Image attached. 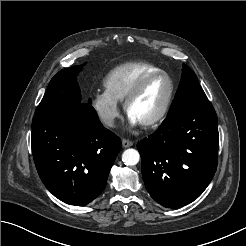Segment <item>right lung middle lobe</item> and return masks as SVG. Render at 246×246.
I'll list each match as a JSON object with an SVG mask.
<instances>
[{"label":"right lung middle lobe","instance_id":"1","mask_svg":"<svg viewBox=\"0 0 246 246\" xmlns=\"http://www.w3.org/2000/svg\"><path fill=\"white\" fill-rule=\"evenodd\" d=\"M82 67L73 66L59 71L50 81L34 118L59 117L82 104L80 89L76 81Z\"/></svg>","mask_w":246,"mask_h":246}]
</instances>
